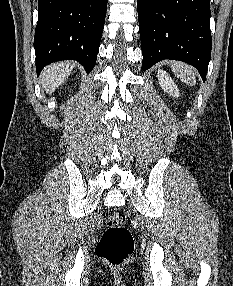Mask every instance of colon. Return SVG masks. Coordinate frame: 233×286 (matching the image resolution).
<instances>
[{"label": "colon", "mask_w": 233, "mask_h": 286, "mask_svg": "<svg viewBox=\"0 0 233 286\" xmlns=\"http://www.w3.org/2000/svg\"><path fill=\"white\" fill-rule=\"evenodd\" d=\"M125 223L126 217L123 213H110L106 229L96 247L98 258L113 267L123 265L134 249L132 235Z\"/></svg>", "instance_id": "5ec220e1"}]
</instances>
